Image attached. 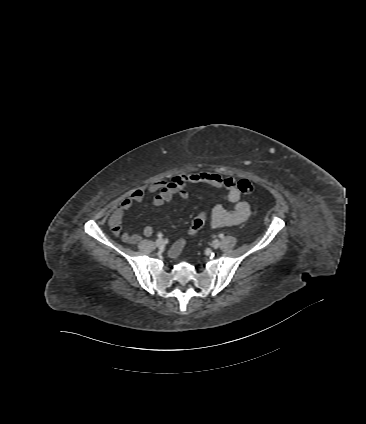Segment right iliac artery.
<instances>
[{
	"label": "right iliac artery",
	"mask_w": 366,
	"mask_h": 424,
	"mask_svg": "<svg viewBox=\"0 0 366 424\" xmlns=\"http://www.w3.org/2000/svg\"><path fill=\"white\" fill-rule=\"evenodd\" d=\"M162 236H163V235H162L161 233H160V234H158V237H159V238H161Z\"/></svg>",
	"instance_id": "1"
}]
</instances>
